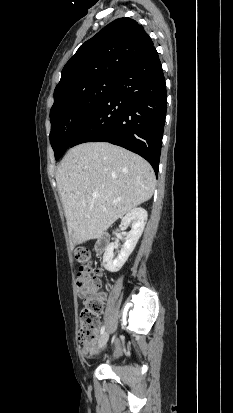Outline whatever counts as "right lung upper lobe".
Here are the masks:
<instances>
[{
	"instance_id": "right-lung-upper-lobe-1",
	"label": "right lung upper lobe",
	"mask_w": 233,
	"mask_h": 413,
	"mask_svg": "<svg viewBox=\"0 0 233 413\" xmlns=\"http://www.w3.org/2000/svg\"><path fill=\"white\" fill-rule=\"evenodd\" d=\"M152 46L151 38L135 20L116 19L83 43L69 59L55 88L54 100L95 80L115 78Z\"/></svg>"
}]
</instances>
